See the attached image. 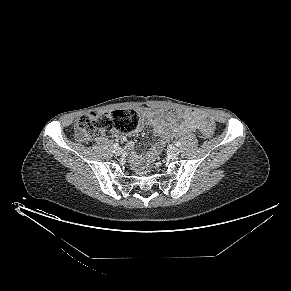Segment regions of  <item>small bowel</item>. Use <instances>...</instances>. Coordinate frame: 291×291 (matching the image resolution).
Wrapping results in <instances>:
<instances>
[{
	"instance_id": "c3829d8e",
	"label": "small bowel",
	"mask_w": 291,
	"mask_h": 291,
	"mask_svg": "<svg viewBox=\"0 0 291 291\" xmlns=\"http://www.w3.org/2000/svg\"><path fill=\"white\" fill-rule=\"evenodd\" d=\"M143 122L153 128L161 140L153 145L146 155L133 154L136 161L150 162L163 144L174 136H181L189 132L202 129L211 121L195 111L178 112L176 114L166 113L159 109L145 108L142 110ZM129 149L133 144L128 145Z\"/></svg>"
}]
</instances>
